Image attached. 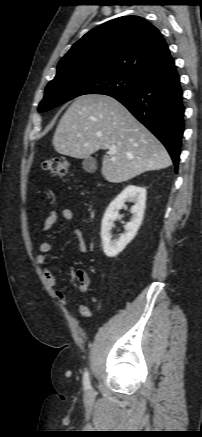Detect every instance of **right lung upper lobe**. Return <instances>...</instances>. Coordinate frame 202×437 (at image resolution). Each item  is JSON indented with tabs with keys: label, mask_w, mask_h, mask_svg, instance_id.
Returning a JSON list of instances; mask_svg holds the SVG:
<instances>
[{
	"label": "right lung upper lobe",
	"mask_w": 202,
	"mask_h": 437,
	"mask_svg": "<svg viewBox=\"0 0 202 437\" xmlns=\"http://www.w3.org/2000/svg\"><path fill=\"white\" fill-rule=\"evenodd\" d=\"M173 62L155 26L139 16H124L96 27L77 41L60 60L56 77L70 71L116 72L144 80Z\"/></svg>",
	"instance_id": "cb5924a9"
}]
</instances>
